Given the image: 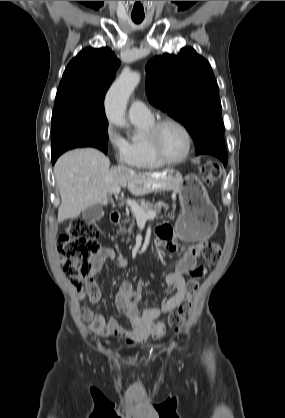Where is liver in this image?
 Listing matches in <instances>:
<instances>
[{
  "mask_svg": "<svg viewBox=\"0 0 285 418\" xmlns=\"http://www.w3.org/2000/svg\"><path fill=\"white\" fill-rule=\"evenodd\" d=\"M109 167V158L93 148L72 150L59 157L54 166L61 196L59 222L77 218L92 205H107L108 195L115 187L127 186L135 196L155 190L177 193L182 187L181 174L173 175L172 170L136 172L126 166Z\"/></svg>",
  "mask_w": 285,
  "mask_h": 418,
  "instance_id": "obj_1",
  "label": "liver"
}]
</instances>
